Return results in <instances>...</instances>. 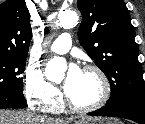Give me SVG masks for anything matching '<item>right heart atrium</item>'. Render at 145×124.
<instances>
[{"label": "right heart atrium", "instance_id": "1", "mask_svg": "<svg viewBox=\"0 0 145 124\" xmlns=\"http://www.w3.org/2000/svg\"><path fill=\"white\" fill-rule=\"evenodd\" d=\"M24 92L30 103L44 112H55L60 108L59 90L48 82L42 72L33 66L24 73Z\"/></svg>", "mask_w": 145, "mask_h": 124}]
</instances>
